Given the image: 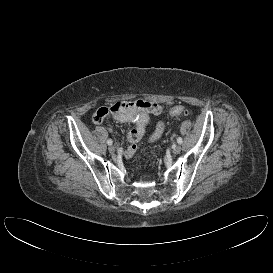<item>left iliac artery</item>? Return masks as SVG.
Segmentation results:
<instances>
[{
    "label": "left iliac artery",
    "instance_id": "1",
    "mask_svg": "<svg viewBox=\"0 0 273 273\" xmlns=\"http://www.w3.org/2000/svg\"><path fill=\"white\" fill-rule=\"evenodd\" d=\"M177 142H178L179 144H182V142H183L182 138H181V137H178V138H177Z\"/></svg>",
    "mask_w": 273,
    "mask_h": 273
}]
</instances>
